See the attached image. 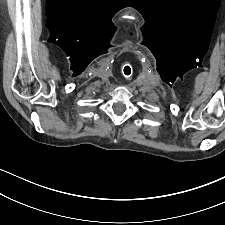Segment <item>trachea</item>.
<instances>
[{
  "label": "trachea",
  "instance_id": "obj_1",
  "mask_svg": "<svg viewBox=\"0 0 225 225\" xmlns=\"http://www.w3.org/2000/svg\"><path fill=\"white\" fill-rule=\"evenodd\" d=\"M124 74H127L126 71H125V68H124Z\"/></svg>",
  "mask_w": 225,
  "mask_h": 225
}]
</instances>
